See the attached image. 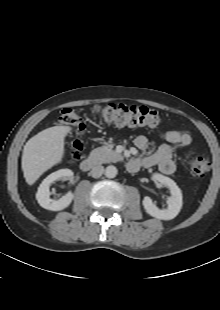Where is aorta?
Masks as SVG:
<instances>
[{
    "mask_svg": "<svg viewBox=\"0 0 220 310\" xmlns=\"http://www.w3.org/2000/svg\"><path fill=\"white\" fill-rule=\"evenodd\" d=\"M117 173H118V170L115 166L110 165V166L106 167L105 176L107 178H114V177H116Z\"/></svg>",
    "mask_w": 220,
    "mask_h": 310,
    "instance_id": "1",
    "label": "aorta"
}]
</instances>
